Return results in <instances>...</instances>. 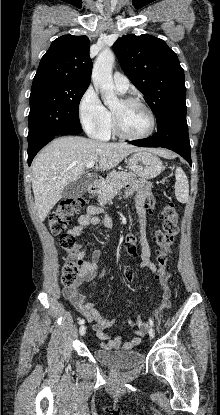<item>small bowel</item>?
I'll list each match as a JSON object with an SVG mask.
<instances>
[{"mask_svg":"<svg viewBox=\"0 0 220 415\" xmlns=\"http://www.w3.org/2000/svg\"><path fill=\"white\" fill-rule=\"evenodd\" d=\"M136 191L135 208L139 223V258L141 266L148 268L152 273L157 275V266L150 259V245L147 233V209L154 203L151 199L150 185L145 180H139L127 191V194ZM102 209L97 205H89L86 212L78 217L77 224L69 230V234L79 237L82 232L89 226L97 225L101 222L98 216ZM103 224L109 227L113 224L112 217H106ZM137 244V237L130 233L126 236L125 245ZM85 250L80 247L78 257L83 259ZM102 258L100 250H93L91 253V260L82 262L80 275L78 280L72 285L65 287L63 290L64 297L73 305L79 314L87 319L88 322H94L93 329L96 336L105 341L101 346L107 349L131 350L138 346L142 337L147 333L148 323L141 318H135L128 321V324L134 326L135 336L126 342L122 341L120 336L112 337L106 331L115 325V319H108L104 317L98 308L91 302L86 301L81 288L86 283L93 282L102 277L106 273V269H100L99 262Z\"/></svg>","mask_w":220,"mask_h":415,"instance_id":"obj_1","label":"small bowel"}]
</instances>
